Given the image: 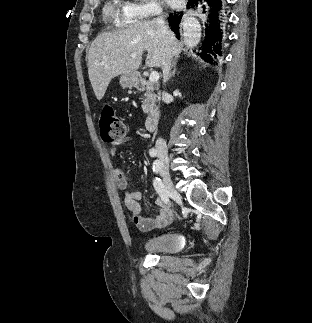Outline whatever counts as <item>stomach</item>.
<instances>
[{
	"instance_id": "obj_1",
	"label": "stomach",
	"mask_w": 312,
	"mask_h": 323,
	"mask_svg": "<svg viewBox=\"0 0 312 323\" xmlns=\"http://www.w3.org/2000/svg\"><path fill=\"white\" fill-rule=\"evenodd\" d=\"M138 82V74L136 72H132V74H122L120 76V86L122 88H132Z\"/></svg>"
}]
</instances>
